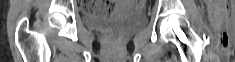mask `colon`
<instances>
[{"label": "colon", "mask_w": 235, "mask_h": 62, "mask_svg": "<svg viewBox=\"0 0 235 62\" xmlns=\"http://www.w3.org/2000/svg\"><path fill=\"white\" fill-rule=\"evenodd\" d=\"M140 2L143 3V1H140ZM88 9L91 10V11H93V12H100V11H101L100 8H97V10H94V9L88 7Z\"/></svg>", "instance_id": "1"}]
</instances>
